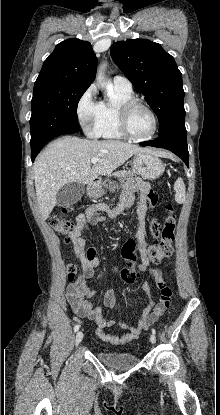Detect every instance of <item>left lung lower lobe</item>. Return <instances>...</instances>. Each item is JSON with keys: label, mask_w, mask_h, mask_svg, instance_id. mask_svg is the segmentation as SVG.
Listing matches in <instances>:
<instances>
[{"label": "left lung lower lobe", "mask_w": 220, "mask_h": 415, "mask_svg": "<svg viewBox=\"0 0 220 415\" xmlns=\"http://www.w3.org/2000/svg\"><path fill=\"white\" fill-rule=\"evenodd\" d=\"M142 146H153L172 151L179 156L189 167V153L187 146V132L184 122H179L162 135L152 141L140 143Z\"/></svg>", "instance_id": "obj_1"}]
</instances>
